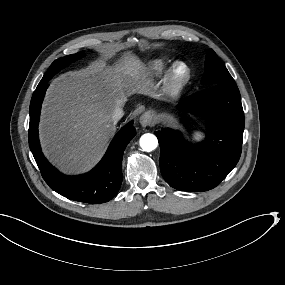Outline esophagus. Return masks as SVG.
I'll use <instances>...</instances> for the list:
<instances>
[{"label":"esophagus","instance_id":"1","mask_svg":"<svg viewBox=\"0 0 285 285\" xmlns=\"http://www.w3.org/2000/svg\"><path fill=\"white\" fill-rule=\"evenodd\" d=\"M139 122L142 127L152 126L154 124L152 114L150 112H145L140 116Z\"/></svg>","mask_w":285,"mask_h":285}]
</instances>
